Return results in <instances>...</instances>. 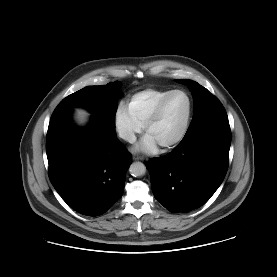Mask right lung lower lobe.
<instances>
[{"label":"right lung lower lobe","mask_w":277,"mask_h":277,"mask_svg":"<svg viewBox=\"0 0 277 277\" xmlns=\"http://www.w3.org/2000/svg\"><path fill=\"white\" fill-rule=\"evenodd\" d=\"M49 178L63 200L86 216H99L122 196L132 156L115 130L91 119L72 123L71 111H54L47 132Z\"/></svg>","instance_id":"right-lung-lower-lobe-1"}]
</instances>
